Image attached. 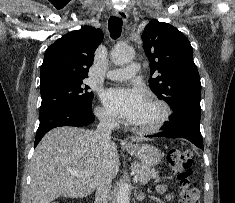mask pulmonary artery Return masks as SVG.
Wrapping results in <instances>:
<instances>
[{
  "mask_svg": "<svg viewBox=\"0 0 235 203\" xmlns=\"http://www.w3.org/2000/svg\"><path fill=\"white\" fill-rule=\"evenodd\" d=\"M140 70L138 63H130L126 67L108 71L107 78L113 81H124L133 78Z\"/></svg>",
  "mask_w": 235,
  "mask_h": 203,
  "instance_id": "obj_1",
  "label": "pulmonary artery"
}]
</instances>
